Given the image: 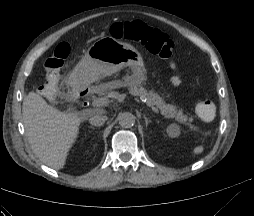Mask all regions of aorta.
<instances>
[{
	"label": "aorta",
	"mask_w": 254,
	"mask_h": 216,
	"mask_svg": "<svg viewBox=\"0 0 254 216\" xmlns=\"http://www.w3.org/2000/svg\"><path fill=\"white\" fill-rule=\"evenodd\" d=\"M117 119L121 127L131 128L135 124L136 117L130 112H121Z\"/></svg>",
	"instance_id": "aorta-1"
}]
</instances>
